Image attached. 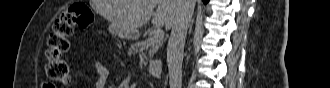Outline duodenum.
Segmentation results:
<instances>
[{
    "label": "duodenum",
    "instance_id": "obj_1",
    "mask_svg": "<svg viewBox=\"0 0 330 88\" xmlns=\"http://www.w3.org/2000/svg\"><path fill=\"white\" fill-rule=\"evenodd\" d=\"M149 71L153 76L159 77L162 74L163 66L159 62H152L149 65Z\"/></svg>",
    "mask_w": 330,
    "mask_h": 88
}]
</instances>
